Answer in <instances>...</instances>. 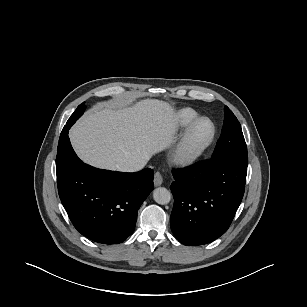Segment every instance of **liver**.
Returning a JSON list of instances; mask_svg holds the SVG:
<instances>
[{
  "mask_svg": "<svg viewBox=\"0 0 307 307\" xmlns=\"http://www.w3.org/2000/svg\"><path fill=\"white\" fill-rule=\"evenodd\" d=\"M177 125L174 109L157 99L132 106L99 103L72 127L69 137L84 162L120 171L169 147Z\"/></svg>",
  "mask_w": 307,
  "mask_h": 307,
  "instance_id": "6515ba94",
  "label": "liver"
}]
</instances>
